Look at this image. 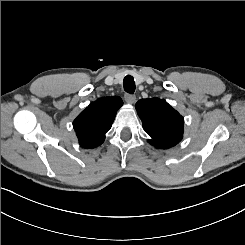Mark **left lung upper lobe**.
<instances>
[{"instance_id": "obj_1", "label": "left lung upper lobe", "mask_w": 245, "mask_h": 245, "mask_svg": "<svg viewBox=\"0 0 245 245\" xmlns=\"http://www.w3.org/2000/svg\"><path fill=\"white\" fill-rule=\"evenodd\" d=\"M136 110L152 146L168 149L181 141L184 119L164 99H141L136 103Z\"/></svg>"}]
</instances>
